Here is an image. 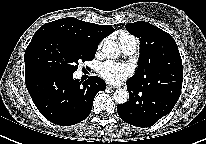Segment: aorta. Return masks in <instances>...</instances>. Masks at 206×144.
<instances>
[{
  "mask_svg": "<svg viewBox=\"0 0 206 144\" xmlns=\"http://www.w3.org/2000/svg\"><path fill=\"white\" fill-rule=\"evenodd\" d=\"M120 50L121 49L119 45L112 40H106L103 43L102 52L107 58L114 59V58L119 57L121 53ZM128 98H129V93L125 89H117L114 92V100L118 104H123L127 102Z\"/></svg>",
  "mask_w": 206,
  "mask_h": 144,
  "instance_id": "aorta-1",
  "label": "aorta"
}]
</instances>
